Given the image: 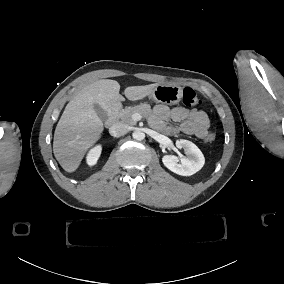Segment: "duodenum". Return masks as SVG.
<instances>
[{
  "mask_svg": "<svg viewBox=\"0 0 284 284\" xmlns=\"http://www.w3.org/2000/svg\"><path fill=\"white\" fill-rule=\"evenodd\" d=\"M118 119V107H114L112 110L109 111L107 118H106V124L108 127H112Z\"/></svg>",
  "mask_w": 284,
  "mask_h": 284,
  "instance_id": "duodenum-1",
  "label": "duodenum"
}]
</instances>
